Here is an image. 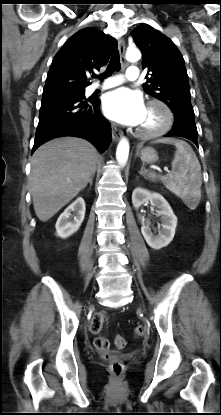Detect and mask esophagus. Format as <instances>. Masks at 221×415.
<instances>
[{"label": "esophagus", "instance_id": "obj_1", "mask_svg": "<svg viewBox=\"0 0 221 415\" xmlns=\"http://www.w3.org/2000/svg\"><path fill=\"white\" fill-rule=\"evenodd\" d=\"M118 51L121 57V61L125 63V42L123 39H119L118 41ZM112 137L115 141L119 140L123 137V133L121 131L112 130Z\"/></svg>", "mask_w": 221, "mask_h": 415}]
</instances>
